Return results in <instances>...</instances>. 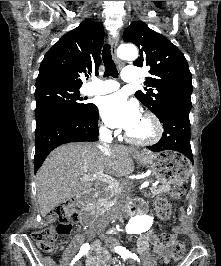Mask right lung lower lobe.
Returning a JSON list of instances; mask_svg holds the SVG:
<instances>
[{"instance_id": "obj_1", "label": "right lung lower lobe", "mask_w": 221, "mask_h": 266, "mask_svg": "<svg viewBox=\"0 0 221 266\" xmlns=\"http://www.w3.org/2000/svg\"><path fill=\"white\" fill-rule=\"evenodd\" d=\"M98 109L88 115L61 114L36 125L35 130V173L47 155L59 145L69 142L98 140Z\"/></svg>"}]
</instances>
